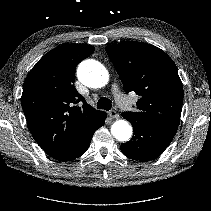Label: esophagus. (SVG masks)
I'll return each mask as SVG.
<instances>
[{
  "instance_id": "obj_1",
  "label": "esophagus",
  "mask_w": 211,
  "mask_h": 211,
  "mask_svg": "<svg viewBox=\"0 0 211 211\" xmlns=\"http://www.w3.org/2000/svg\"><path fill=\"white\" fill-rule=\"evenodd\" d=\"M108 114L111 118H119V114L116 110H111Z\"/></svg>"
}]
</instances>
